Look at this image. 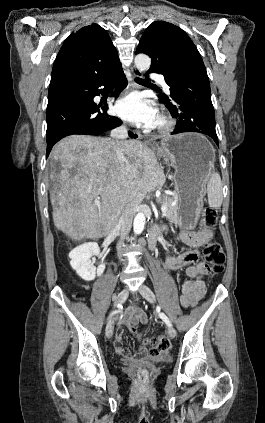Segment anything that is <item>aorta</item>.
<instances>
[{"label": "aorta", "instance_id": "1", "mask_svg": "<svg viewBox=\"0 0 265 423\" xmlns=\"http://www.w3.org/2000/svg\"><path fill=\"white\" fill-rule=\"evenodd\" d=\"M135 65L139 70L146 71L150 68L151 59L148 55L145 54H138L135 57ZM146 223V217L143 212H139L136 214L133 222V230L134 233L139 235L144 230V226Z\"/></svg>", "mask_w": 265, "mask_h": 423}]
</instances>
